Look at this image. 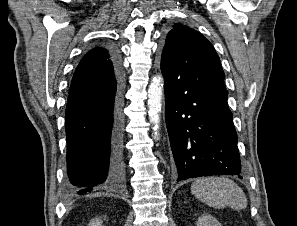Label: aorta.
Segmentation results:
<instances>
[{
  "instance_id": "762f6f07",
  "label": "aorta",
  "mask_w": 297,
  "mask_h": 226,
  "mask_svg": "<svg viewBox=\"0 0 297 226\" xmlns=\"http://www.w3.org/2000/svg\"><path fill=\"white\" fill-rule=\"evenodd\" d=\"M163 93V78L161 76H156L152 79L148 88V115L150 122L154 125L153 127V137L154 139H159V123L161 112V100Z\"/></svg>"
}]
</instances>
